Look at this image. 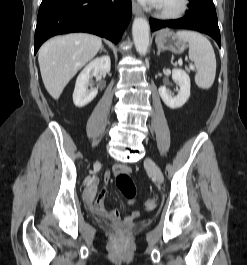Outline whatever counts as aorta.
Wrapping results in <instances>:
<instances>
[{"label": "aorta", "mask_w": 247, "mask_h": 265, "mask_svg": "<svg viewBox=\"0 0 247 265\" xmlns=\"http://www.w3.org/2000/svg\"><path fill=\"white\" fill-rule=\"evenodd\" d=\"M132 35L136 50L140 55H145L149 47L150 28L147 19L137 17L132 25Z\"/></svg>", "instance_id": "1"}]
</instances>
